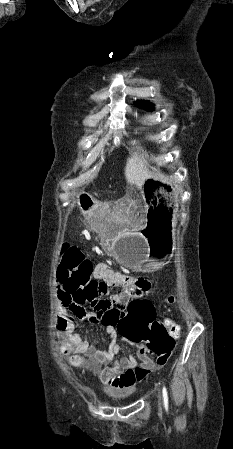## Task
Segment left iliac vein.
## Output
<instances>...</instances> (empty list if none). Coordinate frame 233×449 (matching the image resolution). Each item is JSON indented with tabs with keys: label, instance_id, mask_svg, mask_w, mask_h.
I'll use <instances>...</instances> for the list:
<instances>
[{
	"label": "left iliac vein",
	"instance_id": "4c4485c4",
	"mask_svg": "<svg viewBox=\"0 0 233 449\" xmlns=\"http://www.w3.org/2000/svg\"><path fill=\"white\" fill-rule=\"evenodd\" d=\"M158 399H159V405L162 406L163 405V396L160 391L158 392Z\"/></svg>",
	"mask_w": 233,
	"mask_h": 449
}]
</instances>
